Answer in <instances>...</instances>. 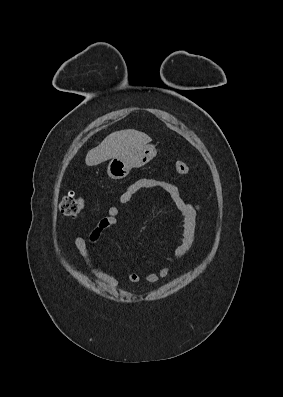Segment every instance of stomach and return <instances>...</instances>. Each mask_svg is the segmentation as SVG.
Returning a JSON list of instances; mask_svg holds the SVG:
<instances>
[{
    "mask_svg": "<svg viewBox=\"0 0 283 397\" xmlns=\"http://www.w3.org/2000/svg\"><path fill=\"white\" fill-rule=\"evenodd\" d=\"M157 154L155 147L144 145L125 157L113 158L107 173L113 179L125 178L132 168H139L150 162Z\"/></svg>",
    "mask_w": 283,
    "mask_h": 397,
    "instance_id": "stomach-1",
    "label": "stomach"
}]
</instances>
